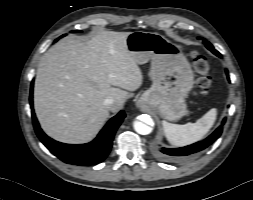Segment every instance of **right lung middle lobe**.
Wrapping results in <instances>:
<instances>
[{
	"instance_id": "right-lung-middle-lobe-1",
	"label": "right lung middle lobe",
	"mask_w": 253,
	"mask_h": 200,
	"mask_svg": "<svg viewBox=\"0 0 253 200\" xmlns=\"http://www.w3.org/2000/svg\"><path fill=\"white\" fill-rule=\"evenodd\" d=\"M73 33H76V32H80V31H78V30H75V31H72Z\"/></svg>"
}]
</instances>
